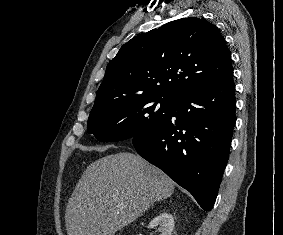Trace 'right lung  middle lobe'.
Instances as JSON below:
<instances>
[{"label":"right lung middle lobe","instance_id":"right-lung-middle-lobe-1","mask_svg":"<svg viewBox=\"0 0 283 235\" xmlns=\"http://www.w3.org/2000/svg\"><path fill=\"white\" fill-rule=\"evenodd\" d=\"M172 98L144 96L108 102L92 108L87 129L101 142L146 135L169 117Z\"/></svg>","mask_w":283,"mask_h":235}]
</instances>
